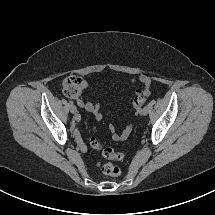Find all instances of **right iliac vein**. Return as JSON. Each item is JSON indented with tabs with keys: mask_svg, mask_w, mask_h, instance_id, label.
Here are the masks:
<instances>
[{
	"mask_svg": "<svg viewBox=\"0 0 215 215\" xmlns=\"http://www.w3.org/2000/svg\"><path fill=\"white\" fill-rule=\"evenodd\" d=\"M70 112L72 113V114H76V112H77V108H76V106L75 105H70Z\"/></svg>",
	"mask_w": 215,
	"mask_h": 215,
	"instance_id": "right-iliac-vein-1",
	"label": "right iliac vein"
}]
</instances>
